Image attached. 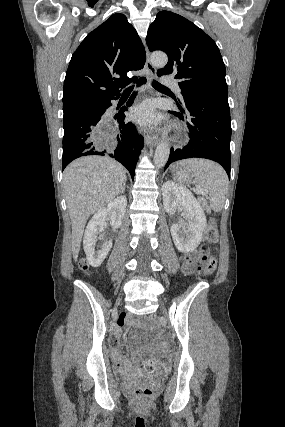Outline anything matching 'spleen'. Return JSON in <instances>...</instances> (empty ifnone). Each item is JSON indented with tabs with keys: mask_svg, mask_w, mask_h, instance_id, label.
Returning a JSON list of instances; mask_svg holds the SVG:
<instances>
[{
	"mask_svg": "<svg viewBox=\"0 0 285 427\" xmlns=\"http://www.w3.org/2000/svg\"><path fill=\"white\" fill-rule=\"evenodd\" d=\"M178 165L194 173L198 187L209 195L212 210L220 212L224 206L229 184L224 169L219 164L203 159L182 160Z\"/></svg>",
	"mask_w": 285,
	"mask_h": 427,
	"instance_id": "1",
	"label": "spleen"
}]
</instances>
